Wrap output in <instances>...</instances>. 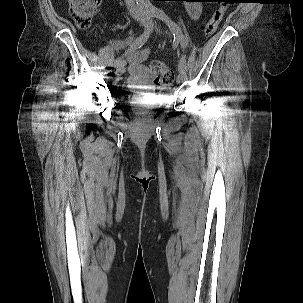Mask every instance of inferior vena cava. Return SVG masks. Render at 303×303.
Wrapping results in <instances>:
<instances>
[{"instance_id": "inferior-vena-cava-1", "label": "inferior vena cava", "mask_w": 303, "mask_h": 303, "mask_svg": "<svg viewBox=\"0 0 303 303\" xmlns=\"http://www.w3.org/2000/svg\"><path fill=\"white\" fill-rule=\"evenodd\" d=\"M127 9L129 10L130 15L134 19H139L141 18L142 14L140 9L136 6L135 0H125Z\"/></svg>"}]
</instances>
